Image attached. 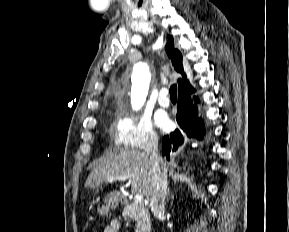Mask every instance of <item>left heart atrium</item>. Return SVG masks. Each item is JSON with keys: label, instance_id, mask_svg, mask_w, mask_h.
Masks as SVG:
<instances>
[{"label": "left heart atrium", "instance_id": "39dd6f15", "mask_svg": "<svg viewBox=\"0 0 289 232\" xmlns=\"http://www.w3.org/2000/svg\"><path fill=\"white\" fill-rule=\"evenodd\" d=\"M156 122H157L159 127L164 128V129L167 128L170 124V121H169L167 115L163 114V113H159L156 116Z\"/></svg>", "mask_w": 289, "mask_h": 232}]
</instances>
